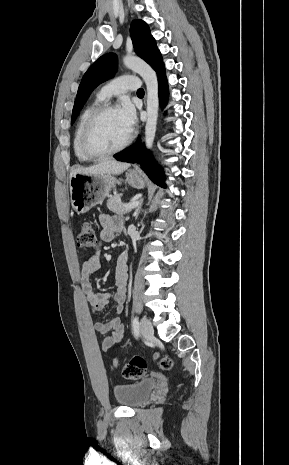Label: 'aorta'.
Listing matches in <instances>:
<instances>
[{
    "label": "aorta",
    "instance_id": "1",
    "mask_svg": "<svg viewBox=\"0 0 289 465\" xmlns=\"http://www.w3.org/2000/svg\"><path fill=\"white\" fill-rule=\"evenodd\" d=\"M124 65L138 73L144 80L147 89V121L145 126V145L152 149L158 118L159 97L158 78L156 72L142 59L135 56H125Z\"/></svg>",
    "mask_w": 289,
    "mask_h": 465
}]
</instances>
